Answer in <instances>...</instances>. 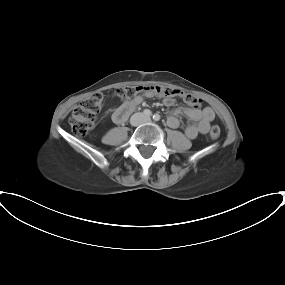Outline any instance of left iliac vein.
Masks as SVG:
<instances>
[{
    "label": "left iliac vein",
    "mask_w": 285,
    "mask_h": 285,
    "mask_svg": "<svg viewBox=\"0 0 285 285\" xmlns=\"http://www.w3.org/2000/svg\"><path fill=\"white\" fill-rule=\"evenodd\" d=\"M144 121H145V122H149V121H150V118L146 117V118L144 119Z\"/></svg>",
    "instance_id": "obj_1"
}]
</instances>
